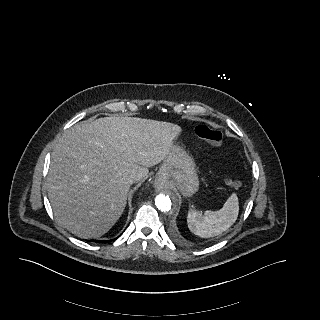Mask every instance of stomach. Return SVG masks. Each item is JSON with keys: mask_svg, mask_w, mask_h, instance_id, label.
<instances>
[{"mask_svg": "<svg viewBox=\"0 0 320 320\" xmlns=\"http://www.w3.org/2000/svg\"><path fill=\"white\" fill-rule=\"evenodd\" d=\"M158 187L179 190L184 196L198 191L199 179L193 159L177 145H172L156 175Z\"/></svg>", "mask_w": 320, "mask_h": 320, "instance_id": "1", "label": "stomach"}]
</instances>
